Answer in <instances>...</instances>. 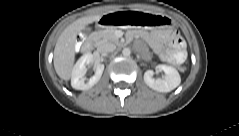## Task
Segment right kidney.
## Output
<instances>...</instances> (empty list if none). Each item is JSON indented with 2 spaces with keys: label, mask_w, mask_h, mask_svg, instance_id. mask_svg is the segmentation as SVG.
I'll use <instances>...</instances> for the list:
<instances>
[{
  "label": "right kidney",
  "mask_w": 239,
  "mask_h": 136,
  "mask_svg": "<svg viewBox=\"0 0 239 136\" xmlns=\"http://www.w3.org/2000/svg\"><path fill=\"white\" fill-rule=\"evenodd\" d=\"M94 62V56L92 53H85L79 58L73 67L71 75V86L76 90H88L92 88L101 78L104 71L103 64L96 65V71L94 76H92L88 81H86V65Z\"/></svg>",
  "instance_id": "obj_1"
}]
</instances>
